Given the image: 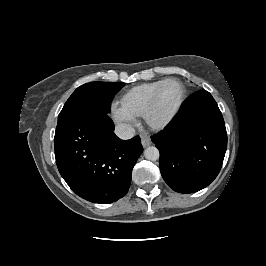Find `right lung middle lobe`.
Instances as JSON below:
<instances>
[{
	"mask_svg": "<svg viewBox=\"0 0 266 266\" xmlns=\"http://www.w3.org/2000/svg\"><path fill=\"white\" fill-rule=\"evenodd\" d=\"M123 86V82H91L81 85L61 110L56 130L62 128L85 108H96L109 113L113 97Z\"/></svg>",
	"mask_w": 266,
	"mask_h": 266,
	"instance_id": "1",
	"label": "right lung middle lobe"
}]
</instances>
